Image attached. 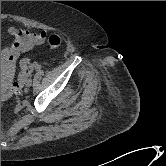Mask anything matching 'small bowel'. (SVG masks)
Masks as SVG:
<instances>
[{
  "label": "small bowel",
  "instance_id": "c3829d8e",
  "mask_svg": "<svg viewBox=\"0 0 166 166\" xmlns=\"http://www.w3.org/2000/svg\"><path fill=\"white\" fill-rule=\"evenodd\" d=\"M5 31L13 37V42L1 50V67H6L9 71L15 68L18 57L41 45L47 38L46 31L30 32L15 26H8Z\"/></svg>",
  "mask_w": 166,
  "mask_h": 166
}]
</instances>
